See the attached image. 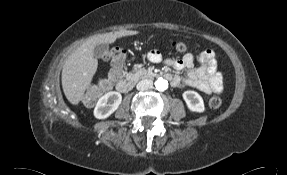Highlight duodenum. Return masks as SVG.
Returning a JSON list of instances; mask_svg holds the SVG:
<instances>
[{"label":"duodenum","instance_id":"duodenum-1","mask_svg":"<svg viewBox=\"0 0 287 175\" xmlns=\"http://www.w3.org/2000/svg\"><path fill=\"white\" fill-rule=\"evenodd\" d=\"M132 85V82H125V83H122L121 87L124 88V89H130Z\"/></svg>","mask_w":287,"mask_h":175}]
</instances>
